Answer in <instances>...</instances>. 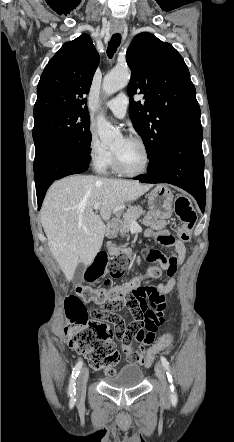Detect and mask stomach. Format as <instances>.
<instances>
[{
  "instance_id": "0dacf381",
  "label": "stomach",
  "mask_w": 234,
  "mask_h": 442,
  "mask_svg": "<svg viewBox=\"0 0 234 442\" xmlns=\"http://www.w3.org/2000/svg\"><path fill=\"white\" fill-rule=\"evenodd\" d=\"M174 195L166 185H157L148 194V203L151 211L161 219H168L172 216Z\"/></svg>"
}]
</instances>
